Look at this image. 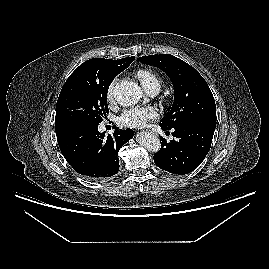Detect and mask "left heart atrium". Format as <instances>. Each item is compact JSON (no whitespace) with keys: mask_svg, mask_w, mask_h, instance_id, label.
<instances>
[{"mask_svg":"<svg viewBox=\"0 0 269 269\" xmlns=\"http://www.w3.org/2000/svg\"><path fill=\"white\" fill-rule=\"evenodd\" d=\"M157 118L158 112L154 107H132L121 114L119 123L130 128H141Z\"/></svg>","mask_w":269,"mask_h":269,"instance_id":"1","label":"left heart atrium"}]
</instances>
